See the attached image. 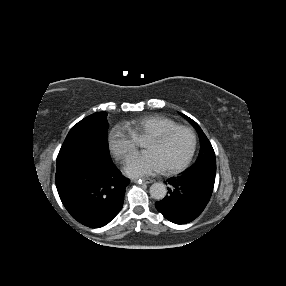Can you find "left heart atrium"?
Returning <instances> with one entry per match:
<instances>
[{
	"label": "left heart atrium",
	"instance_id": "left-heart-atrium-1",
	"mask_svg": "<svg viewBox=\"0 0 286 286\" xmlns=\"http://www.w3.org/2000/svg\"><path fill=\"white\" fill-rule=\"evenodd\" d=\"M162 169L163 167L150 151L134 154L125 164V172L134 177L150 175Z\"/></svg>",
	"mask_w": 286,
	"mask_h": 286
}]
</instances>
